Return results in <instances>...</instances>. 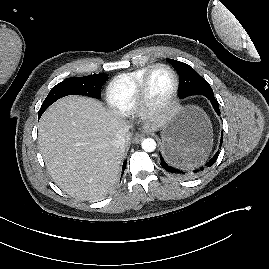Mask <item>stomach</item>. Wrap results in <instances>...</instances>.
<instances>
[{"label":"stomach","mask_w":269,"mask_h":269,"mask_svg":"<svg viewBox=\"0 0 269 269\" xmlns=\"http://www.w3.org/2000/svg\"><path fill=\"white\" fill-rule=\"evenodd\" d=\"M162 151L186 166L202 163L211 149L212 130L206 114L196 106H178L162 128Z\"/></svg>","instance_id":"stomach-1"}]
</instances>
